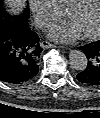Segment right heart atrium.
<instances>
[{
	"label": "right heart atrium",
	"mask_w": 100,
	"mask_h": 118,
	"mask_svg": "<svg viewBox=\"0 0 100 118\" xmlns=\"http://www.w3.org/2000/svg\"><path fill=\"white\" fill-rule=\"evenodd\" d=\"M29 7L39 28L49 26L60 15V9L54 0H29Z\"/></svg>",
	"instance_id": "right-heart-atrium-1"
}]
</instances>
